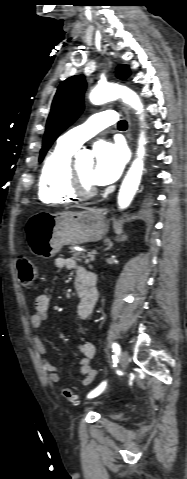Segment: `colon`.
Returning a JSON list of instances; mask_svg holds the SVG:
<instances>
[{"label": "colon", "mask_w": 187, "mask_h": 479, "mask_svg": "<svg viewBox=\"0 0 187 479\" xmlns=\"http://www.w3.org/2000/svg\"><path fill=\"white\" fill-rule=\"evenodd\" d=\"M19 282L23 287H30L37 275L35 266L26 255H19L16 259ZM61 395L70 402H78L77 395L68 387H62Z\"/></svg>", "instance_id": "obj_1"}]
</instances>
